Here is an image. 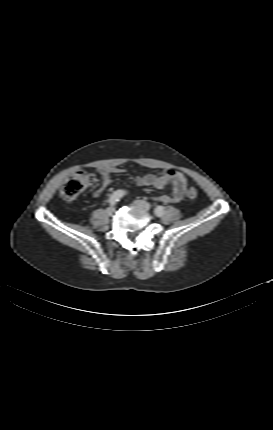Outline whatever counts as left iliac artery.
Instances as JSON below:
<instances>
[{"instance_id": "obj_1", "label": "left iliac artery", "mask_w": 273, "mask_h": 430, "mask_svg": "<svg viewBox=\"0 0 273 430\" xmlns=\"http://www.w3.org/2000/svg\"><path fill=\"white\" fill-rule=\"evenodd\" d=\"M154 213L156 216L161 217L164 214V207L163 206H157L154 210Z\"/></svg>"}]
</instances>
